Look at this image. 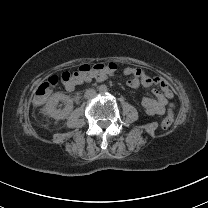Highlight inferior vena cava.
I'll list each match as a JSON object with an SVG mask.
<instances>
[{
  "label": "inferior vena cava",
  "mask_w": 208,
  "mask_h": 208,
  "mask_svg": "<svg viewBox=\"0 0 208 208\" xmlns=\"http://www.w3.org/2000/svg\"><path fill=\"white\" fill-rule=\"evenodd\" d=\"M96 91L94 89H87L84 93L86 99H90L96 96Z\"/></svg>",
  "instance_id": "inferior-vena-cava-1"
}]
</instances>
